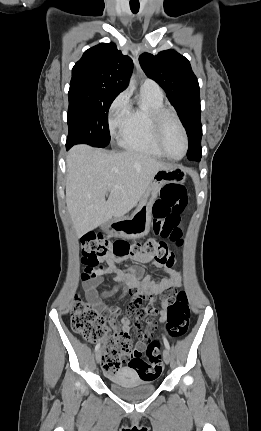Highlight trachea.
Segmentation results:
<instances>
[{
    "label": "trachea",
    "mask_w": 261,
    "mask_h": 431,
    "mask_svg": "<svg viewBox=\"0 0 261 431\" xmlns=\"http://www.w3.org/2000/svg\"><path fill=\"white\" fill-rule=\"evenodd\" d=\"M130 9L134 14L138 13L139 3H136V4L130 3Z\"/></svg>",
    "instance_id": "3493384b"
}]
</instances>
